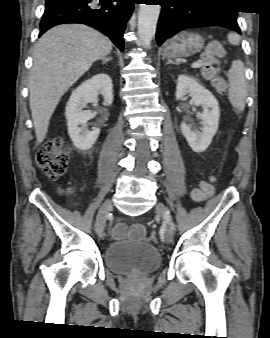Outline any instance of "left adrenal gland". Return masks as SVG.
I'll return each mask as SVG.
<instances>
[{
  "instance_id": "1",
  "label": "left adrenal gland",
  "mask_w": 270,
  "mask_h": 338,
  "mask_svg": "<svg viewBox=\"0 0 270 338\" xmlns=\"http://www.w3.org/2000/svg\"><path fill=\"white\" fill-rule=\"evenodd\" d=\"M166 64H176V63L173 62L171 59H168V61L166 62Z\"/></svg>"
}]
</instances>
